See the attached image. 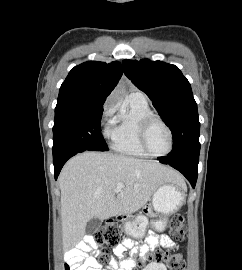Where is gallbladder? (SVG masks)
<instances>
[{
	"instance_id": "1",
	"label": "gallbladder",
	"mask_w": 242,
	"mask_h": 270,
	"mask_svg": "<svg viewBox=\"0 0 242 270\" xmlns=\"http://www.w3.org/2000/svg\"><path fill=\"white\" fill-rule=\"evenodd\" d=\"M101 225V220L98 218H92L91 220L88 221L86 225V232L88 234H93L95 233Z\"/></svg>"
}]
</instances>
